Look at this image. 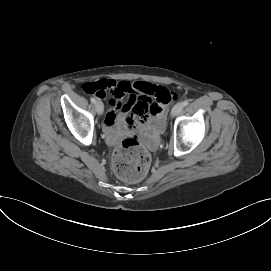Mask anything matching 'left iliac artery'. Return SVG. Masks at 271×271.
Listing matches in <instances>:
<instances>
[{
	"instance_id": "44dca946",
	"label": "left iliac artery",
	"mask_w": 271,
	"mask_h": 271,
	"mask_svg": "<svg viewBox=\"0 0 271 271\" xmlns=\"http://www.w3.org/2000/svg\"><path fill=\"white\" fill-rule=\"evenodd\" d=\"M183 106H187L189 104V101L188 100H185L182 102Z\"/></svg>"
}]
</instances>
